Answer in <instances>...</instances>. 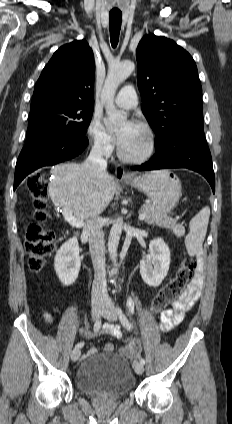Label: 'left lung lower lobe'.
Returning a JSON list of instances; mask_svg holds the SVG:
<instances>
[{"instance_id": "0a47b994", "label": "left lung lower lobe", "mask_w": 232, "mask_h": 424, "mask_svg": "<svg viewBox=\"0 0 232 424\" xmlns=\"http://www.w3.org/2000/svg\"><path fill=\"white\" fill-rule=\"evenodd\" d=\"M154 157L134 169L139 171L165 168H188L202 174L215 192V176L211 154L205 139L202 121L177 127L160 145Z\"/></svg>"}]
</instances>
